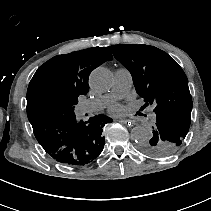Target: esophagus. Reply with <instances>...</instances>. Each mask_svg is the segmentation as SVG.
Listing matches in <instances>:
<instances>
[{
    "label": "esophagus",
    "mask_w": 211,
    "mask_h": 211,
    "mask_svg": "<svg viewBox=\"0 0 211 211\" xmlns=\"http://www.w3.org/2000/svg\"><path fill=\"white\" fill-rule=\"evenodd\" d=\"M120 123H122V124H126L127 125V127H128V129H133V121H132V119H130V118H128V119H119L118 120Z\"/></svg>",
    "instance_id": "obj_1"
}]
</instances>
